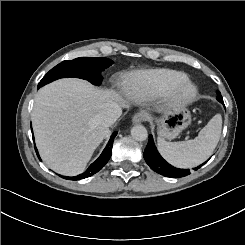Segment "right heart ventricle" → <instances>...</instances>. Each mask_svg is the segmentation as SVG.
I'll list each match as a JSON object with an SVG mask.
<instances>
[{
  "label": "right heart ventricle",
  "instance_id": "obj_1",
  "mask_svg": "<svg viewBox=\"0 0 245 245\" xmlns=\"http://www.w3.org/2000/svg\"><path fill=\"white\" fill-rule=\"evenodd\" d=\"M139 78L142 87L153 94L187 80L184 73L165 69L143 72L139 75Z\"/></svg>",
  "mask_w": 245,
  "mask_h": 245
}]
</instances>
